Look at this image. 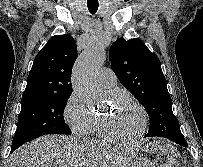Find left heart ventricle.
Returning a JSON list of instances; mask_svg holds the SVG:
<instances>
[{
    "mask_svg": "<svg viewBox=\"0 0 203 167\" xmlns=\"http://www.w3.org/2000/svg\"><path fill=\"white\" fill-rule=\"evenodd\" d=\"M102 117L106 118L110 131L122 138L133 137L142 125L140 111L120 98L113 99L111 109Z\"/></svg>",
    "mask_w": 203,
    "mask_h": 167,
    "instance_id": "1",
    "label": "left heart ventricle"
}]
</instances>
